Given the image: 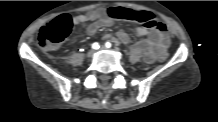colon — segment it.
Segmentation results:
<instances>
[{
  "mask_svg": "<svg viewBox=\"0 0 218 122\" xmlns=\"http://www.w3.org/2000/svg\"><path fill=\"white\" fill-rule=\"evenodd\" d=\"M108 14L117 19L134 21L142 24L147 28H162L163 24L159 22L156 16L148 11H136L128 8H111ZM72 20L68 15H62L46 24L38 33L37 41L40 47L44 49L55 48L60 44L70 33ZM171 56L169 49H164L156 55V62L163 64L167 58Z\"/></svg>",
  "mask_w": 218,
  "mask_h": 122,
  "instance_id": "1",
  "label": "colon"
}]
</instances>
